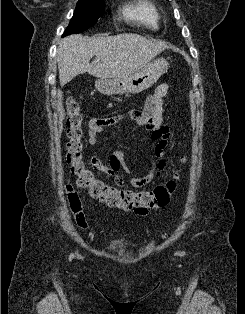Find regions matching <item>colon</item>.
<instances>
[{
  "mask_svg": "<svg viewBox=\"0 0 245 314\" xmlns=\"http://www.w3.org/2000/svg\"><path fill=\"white\" fill-rule=\"evenodd\" d=\"M66 111L67 136L69 138L66 159L70 164L72 174L76 176V185L78 187L88 189L91 196L109 206L134 209L136 212L144 214L165 207L168 204L170 196L176 189L177 175L163 185L141 192L119 189L97 179L94 171L86 165L83 158L84 115L79 102L72 98L68 99ZM97 124L100 123L98 122ZM66 193L77 225L86 228L87 219L81 195L74 189L72 184L67 185Z\"/></svg>",
  "mask_w": 245,
  "mask_h": 314,
  "instance_id": "obj_1",
  "label": "colon"
}]
</instances>
